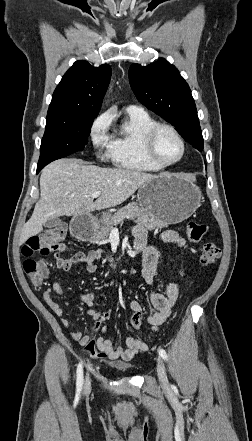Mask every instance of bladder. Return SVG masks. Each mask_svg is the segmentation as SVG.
<instances>
[{
    "label": "bladder",
    "instance_id": "31cf9c89",
    "mask_svg": "<svg viewBox=\"0 0 252 441\" xmlns=\"http://www.w3.org/2000/svg\"><path fill=\"white\" fill-rule=\"evenodd\" d=\"M112 366L119 370H128L129 368H131L130 364H123V363H114Z\"/></svg>",
    "mask_w": 252,
    "mask_h": 441
}]
</instances>
